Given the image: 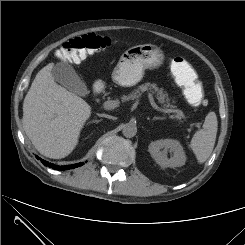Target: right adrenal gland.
Here are the masks:
<instances>
[{"label": "right adrenal gland", "instance_id": "obj_1", "mask_svg": "<svg viewBox=\"0 0 245 245\" xmlns=\"http://www.w3.org/2000/svg\"><path fill=\"white\" fill-rule=\"evenodd\" d=\"M102 120H93L92 122L93 123H99V122H101Z\"/></svg>", "mask_w": 245, "mask_h": 245}]
</instances>
